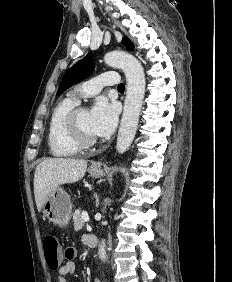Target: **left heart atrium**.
<instances>
[{"instance_id": "obj_1", "label": "left heart atrium", "mask_w": 232, "mask_h": 282, "mask_svg": "<svg viewBox=\"0 0 232 282\" xmlns=\"http://www.w3.org/2000/svg\"><path fill=\"white\" fill-rule=\"evenodd\" d=\"M118 121V107L105 98L96 100L90 111V125L95 136L110 135Z\"/></svg>"}]
</instances>
